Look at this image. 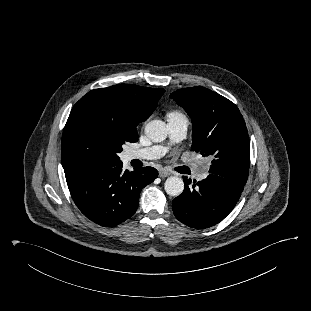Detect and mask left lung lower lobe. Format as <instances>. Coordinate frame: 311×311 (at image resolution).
Returning <instances> with one entry per match:
<instances>
[{
	"instance_id": "0a47b994",
	"label": "left lung lower lobe",
	"mask_w": 311,
	"mask_h": 311,
	"mask_svg": "<svg viewBox=\"0 0 311 311\" xmlns=\"http://www.w3.org/2000/svg\"><path fill=\"white\" fill-rule=\"evenodd\" d=\"M185 189L172 202L176 218L185 225L209 228L221 222L235 207L244 185L224 177L209 174L202 181L184 177Z\"/></svg>"
}]
</instances>
